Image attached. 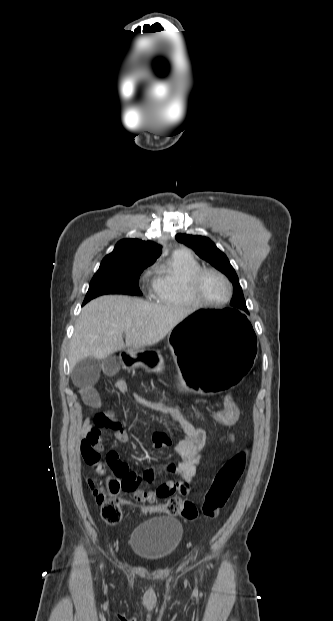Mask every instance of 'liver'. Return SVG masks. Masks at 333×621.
Segmentation results:
<instances>
[{
	"label": "liver",
	"mask_w": 333,
	"mask_h": 621,
	"mask_svg": "<svg viewBox=\"0 0 333 621\" xmlns=\"http://www.w3.org/2000/svg\"><path fill=\"white\" fill-rule=\"evenodd\" d=\"M189 314L183 308L139 298L99 297L82 308L70 342L69 364L73 368L85 358L102 360L126 347L157 344Z\"/></svg>",
	"instance_id": "1"
}]
</instances>
